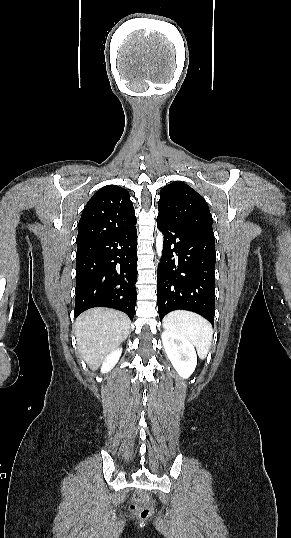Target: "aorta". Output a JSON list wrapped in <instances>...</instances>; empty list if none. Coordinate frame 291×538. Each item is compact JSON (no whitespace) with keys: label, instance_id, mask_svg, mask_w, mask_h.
Instances as JSON below:
<instances>
[{"label":"aorta","instance_id":"obj_1","mask_svg":"<svg viewBox=\"0 0 291 538\" xmlns=\"http://www.w3.org/2000/svg\"><path fill=\"white\" fill-rule=\"evenodd\" d=\"M162 249H163V235L161 232H158L157 238H156V250L159 257L162 254Z\"/></svg>","mask_w":291,"mask_h":538}]
</instances>
